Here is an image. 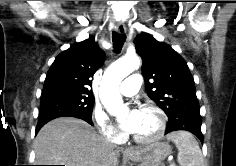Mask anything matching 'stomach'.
Listing matches in <instances>:
<instances>
[{"label":"stomach","instance_id":"stomach-1","mask_svg":"<svg viewBox=\"0 0 236 166\" xmlns=\"http://www.w3.org/2000/svg\"><path fill=\"white\" fill-rule=\"evenodd\" d=\"M172 150L166 142H156L140 148L129 155L133 161H140L141 166H162V161L171 154Z\"/></svg>","mask_w":236,"mask_h":166}]
</instances>
